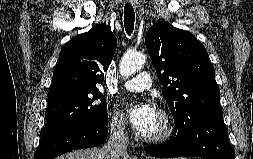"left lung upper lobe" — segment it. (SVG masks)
Instances as JSON below:
<instances>
[{"label": "left lung upper lobe", "mask_w": 253, "mask_h": 159, "mask_svg": "<svg viewBox=\"0 0 253 159\" xmlns=\"http://www.w3.org/2000/svg\"><path fill=\"white\" fill-rule=\"evenodd\" d=\"M145 44L176 128L192 115L222 112L214 67L193 34L157 22L147 32Z\"/></svg>", "instance_id": "obj_1"}]
</instances>
